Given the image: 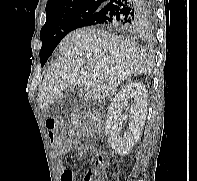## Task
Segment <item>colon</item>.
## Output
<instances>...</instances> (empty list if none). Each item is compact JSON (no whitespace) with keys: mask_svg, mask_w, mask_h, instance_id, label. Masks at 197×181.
<instances>
[{"mask_svg":"<svg viewBox=\"0 0 197 181\" xmlns=\"http://www.w3.org/2000/svg\"><path fill=\"white\" fill-rule=\"evenodd\" d=\"M92 120L86 119L84 115H73L67 119H48L46 127L48 129L49 139L55 149H59L62 145L63 133L68 126L70 133L74 136L84 135L92 126ZM106 157L99 155L94 164L101 167L105 164ZM83 181H93L92 172H87L83 176Z\"/></svg>","mask_w":197,"mask_h":181,"instance_id":"1","label":"colon"}]
</instances>
